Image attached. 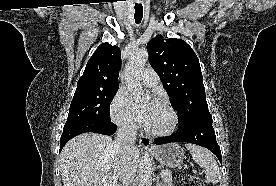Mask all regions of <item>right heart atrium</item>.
I'll return each mask as SVG.
<instances>
[{
	"label": "right heart atrium",
	"mask_w": 276,
	"mask_h": 186,
	"mask_svg": "<svg viewBox=\"0 0 276 186\" xmlns=\"http://www.w3.org/2000/svg\"><path fill=\"white\" fill-rule=\"evenodd\" d=\"M112 121L120 128L128 132L137 129V121L132 112L131 103L127 92L119 89L114 95L110 105Z\"/></svg>",
	"instance_id": "d8ad5b80"
}]
</instances>
